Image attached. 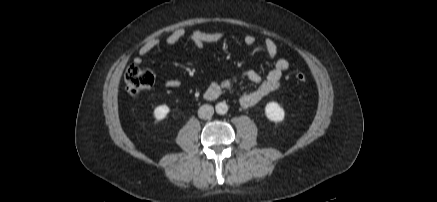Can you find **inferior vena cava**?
<instances>
[{
    "instance_id": "obj_1",
    "label": "inferior vena cava",
    "mask_w": 437,
    "mask_h": 202,
    "mask_svg": "<svg viewBox=\"0 0 437 202\" xmlns=\"http://www.w3.org/2000/svg\"><path fill=\"white\" fill-rule=\"evenodd\" d=\"M214 108L211 105H202L198 110V116L201 119H209L213 116Z\"/></svg>"
}]
</instances>
